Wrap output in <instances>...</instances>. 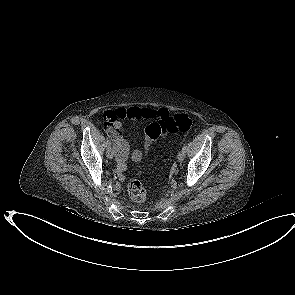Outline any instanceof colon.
<instances>
[{"instance_id": "obj_1", "label": "colon", "mask_w": 295, "mask_h": 295, "mask_svg": "<svg viewBox=\"0 0 295 295\" xmlns=\"http://www.w3.org/2000/svg\"><path fill=\"white\" fill-rule=\"evenodd\" d=\"M193 125L194 120L186 114L168 115L162 121L151 123L143 131V134L150 143H156L159 140V136L162 134L188 132ZM127 189L130 198L134 202L142 203L146 200V191L138 180H130Z\"/></svg>"}]
</instances>
